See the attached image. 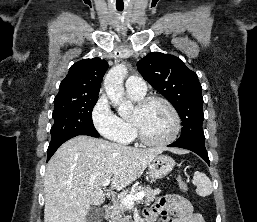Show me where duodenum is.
Masks as SVG:
<instances>
[{
	"label": "duodenum",
	"instance_id": "duodenum-1",
	"mask_svg": "<svg viewBox=\"0 0 257 222\" xmlns=\"http://www.w3.org/2000/svg\"><path fill=\"white\" fill-rule=\"evenodd\" d=\"M103 210H104L105 216H107V217L110 216V213H111V206L110 205H104Z\"/></svg>",
	"mask_w": 257,
	"mask_h": 222
}]
</instances>
